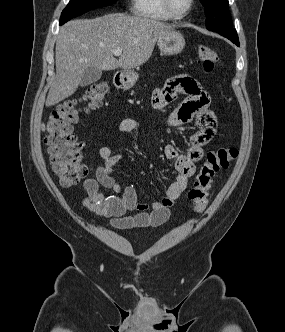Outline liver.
<instances>
[{"mask_svg":"<svg viewBox=\"0 0 285 332\" xmlns=\"http://www.w3.org/2000/svg\"><path fill=\"white\" fill-rule=\"evenodd\" d=\"M172 31L170 25L160 21L123 13L67 22L57 36L56 76L46 106L56 105L73 95L89 67L131 70L144 64L157 40ZM114 49L122 50L119 59L115 58Z\"/></svg>","mask_w":285,"mask_h":332,"instance_id":"6515ba94","label":"liver"}]
</instances>
